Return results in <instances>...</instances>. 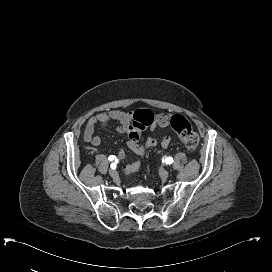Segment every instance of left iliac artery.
<instances>
[{"mask_svg": "<svg viewBox=\"0 0 272 272\" xmlns=\"http://www.w3.org/2000/svg\"><path fill=\"white\" fill-rule=\"evenodd\" d=\"M164 161H165L166 164H169V165H170V164L173 163V158H172V157H168V158H166Z\"/></svg>", "mask_w": 272, "mask_h": 272, "instance_id": "44dca946", "label": "left iliac artery"}]
</instances>
